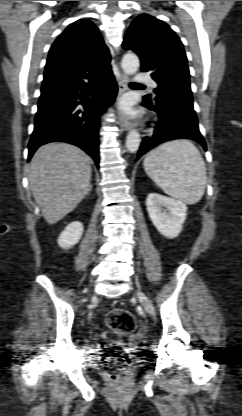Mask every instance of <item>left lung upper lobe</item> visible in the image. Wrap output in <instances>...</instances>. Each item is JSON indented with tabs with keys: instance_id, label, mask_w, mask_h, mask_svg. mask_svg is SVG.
<instances>
[{
	"instance_id": "5c2ea615",
	"label": "left lung upper lobe",
	"mask_w": 242,
	"mask_h": 416,
	"mask_svg": "<svg viewBox=\"0 0 242 416\" xmlns=\"http://www.w3.org/2000/svg\"><path fill=\"white\" fill-rule=\"evenodd\" d=\"M122 46L138 54L142 71H152L158 84L156 97L144 98L174 96L193 102L183 44L165 22L148 14L139 15L131 23Z\"/></svg>"
}]
</instances>
